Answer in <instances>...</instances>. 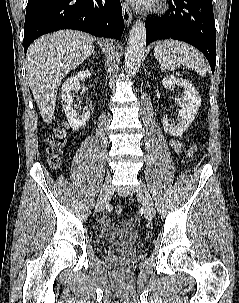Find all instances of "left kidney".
Wrapping results in <instances>:
<instances>
[{
  "instance_id": "obj_1",
  "label": "left kidney",
  "mask_w": 239,
  "mask_h": 303,
  "mask_svg": "<svg viewBox=\"0 0 239 303\" xmlns=\"http://www.w3.org/2000/svg\"><path fill=\"white\" fill-rule=\"evenodd\" d=\"M162 84L165 89H170L174 85H178L185 90L184 95L177 100V103L181 106L179 111V123L175 126L170 124L166 118L162 121L166 133L173 136H181L183 132L189 128L197 115L201 105L200 95L189 81L182 78H176L173 75L164 77Z\"/></svg>"
}]
</instances>
